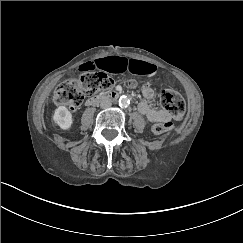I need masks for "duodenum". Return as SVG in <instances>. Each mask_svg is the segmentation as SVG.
I'll return each mask as SVG.
<instances>
[{
	"instance_id": "obj_1",
	"label": "duodenum",
	"mask_w": 243,
	"mask_h": 243,
	"mask_svg": "<svg viewBox=\"0 0 243 243\" xmlns=\"http://www.w3.org/2000/svg\"><path fill=\"white\" fill-rule=\"evenodd\" d=\"M120 93L117 91H110V92H105L102 94H99L97 96L91 97L87 99L86 105L92 106L96 105L102 101H112L115 100L119 97Z\"/></svg>"
}]
</instances>
